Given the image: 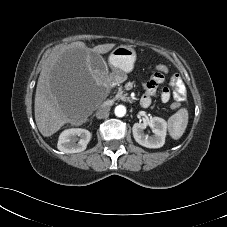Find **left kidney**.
Instances as JSON below:
<instances>
[{"instance_id":"5707ae66","label":"left kidney","mask_w":227,"mask_h":227,"mask_svg":"<svg viewBox=\"0 0 227 227\" xmlns=\"http://www.w3.org/2000/svg\"><path fill=\"white\" fill-rule=\"evenodd\" d=\"M147 125L153 128V136L144 133ZM133 137L137 143L147 148H160L165 143L167 122L160 117H153L148 123H135L132 128Z\"/></svg>"}]
</instances>
